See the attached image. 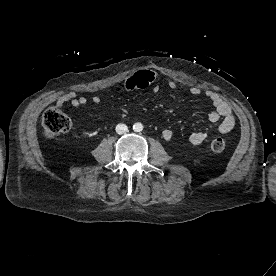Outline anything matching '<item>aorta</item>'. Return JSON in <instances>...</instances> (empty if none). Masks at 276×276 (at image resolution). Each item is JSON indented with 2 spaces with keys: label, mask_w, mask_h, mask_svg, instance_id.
Masks as SVG:
<instances>
[{
  "label": "aorta",
  "mask_w": 276,
  "mask_h": 276,
  "mask_svg": "<svg viewBox=\"0 0 276 276\" xmlns=\"http://www.w3.org/2000/svg\"><path fill=\"white\" fill-rule=\"evenodd\" d=\"M133 130L135 132H140L143 130V125L141 123L137 122L133 125Z\"/></svg>",
  "instance_id": "1"
}]
</instances>
